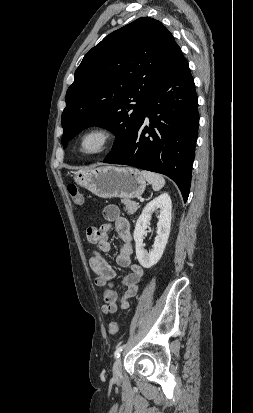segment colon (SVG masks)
Segmentation results:
<instances>
[{
  "instance_id": "1",
  "label": "colon",
  "mask_w": 253,
  "mask_h": 413,
  "mask_svg": "<svg viewBox=\"0 0 253 413\" xmlns=\"http://www.w3.org/2000/svg\"><path fill=\"white\" fill-rule=\"evenodd\" d=\"M68 194L75 205H81L83 203V196L79 191L78 187L74 184H69L67 186ZM119 326L117 322H111L109 324L108 332L114 335L118 332Z\"/></svg>"
}]
</instances>
